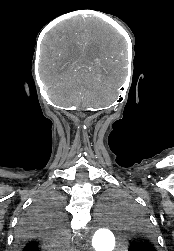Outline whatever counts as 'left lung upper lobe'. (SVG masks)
<instances>
[{
    "label": "left lung upper lobe",
    "instance_id": "1",
    "mask_svg": "<svg viewBox=\"0 0 174 251\" xmlns=\"http://www.w3.org/2000/svg\"><path fill=\"white\" fill-rule=\"evenodd\" d=\"M127 218L133 225L128 238L129 251H158V243L146 217L132 204L127 206Z\"/></svg>",
    "mask_w": 174,
    "mask_h": 251
}]
</instances>
